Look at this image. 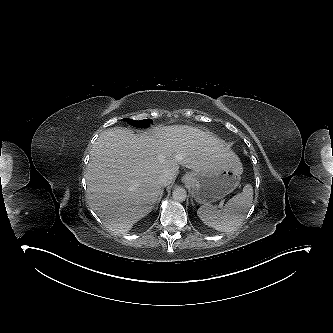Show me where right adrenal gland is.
Returning a JSON list of instances; mask_svg holds the SVG:
<instances>
[{
  "instance_id": "right-adrenal-gland-1",
  "label": "right adrenal gland",
  "mask_w": 333,
  "mask_h": 333,
  "mask_svg": "<svg viewBox=\"0 0 333 333\" xmlns=\"http://www.w3.org/2000/svg\"><path fill=\"white\" fill-rule=\"evenodd\" d=\"M162 195H163V190H162V194H161L160 197L158 198V201H157V205H156V207H154L155 210L158 209V204L160 203V200H161V198H162Z\"/></svg>"
}]
</instances>
